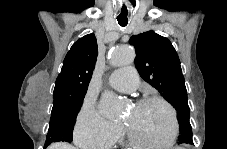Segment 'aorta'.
<instances>
[{"label": "aorta", "instance_id": "obj_1", "mask_svg": "<svg viewBox=\"0 0 227 149\" xmlns=\"http://www.w3.org/2000/svg\"><path fill=\"white\" fill-rule=\"evenodd\" d=\"M135 52L128 46H116L111 56L112 65L119 67L131 64L134 61ZM99 112L106 117H116L121 113L119 98L110 91L102 93L99 102Z\"/></svg>", "mask_w": 227, "mask_h": 149}]
</instances>
